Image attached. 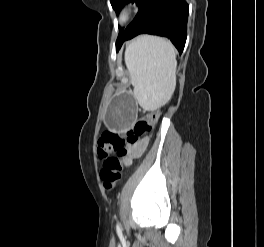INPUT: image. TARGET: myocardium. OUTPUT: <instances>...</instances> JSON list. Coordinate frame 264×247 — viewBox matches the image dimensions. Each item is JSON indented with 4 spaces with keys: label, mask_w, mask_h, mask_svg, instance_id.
I'll return each mask as SVG.
<instances>
[{
    "label": "myocardium",
    "mask_w": 264,
    "mask_h": 247,
    "mask_svg": "<svg viewBox=\"0 0 264 247\" xmlns=\"http://www.w3.org/2000/svg\"><path fill=\"white\" fill-rule=\"evenodd\" d=\"M134 14V7L132 4H125L118 13V21L120 24L128 23Z\"/></svg>",
    "instance_id": "f54148a6"
}]
</instances>
